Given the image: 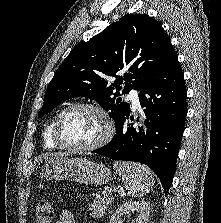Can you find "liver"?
<instances>
[{
	"label": "liver",
	"mask_w": 221,
	"mask_h": 223,
	"mask_svg": "<svg viewBox=\"0 0 221 223\" xmlns=\"http://www.w3.org/2000/svg\"><path fill=\"white\" fill-rule=\"evenodd\" d=\"M54 156V157H53ZM63 156H64V154H61V153H55V154H53L52 155V157H45V159H47L48 161H54V160H58V159H61V158H63Z\"/></svg>",
	"instance_id": "1"
}]
</instances>
